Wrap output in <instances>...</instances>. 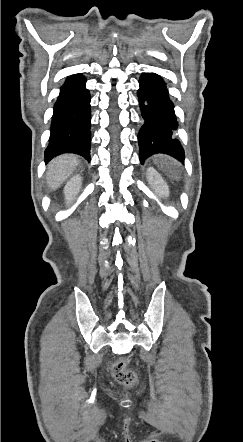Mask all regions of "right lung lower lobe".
<instances>
[{"label":"right lung lower lobe","mask_w":243,"mask_h":442,"mask_svg":"<svg viewBox=\"0 0 243 442\" xmlns=\"http://www.w3.org/2000/svg\"><path fill=\"white\" fill-rule=\"evenodd\" d=\"M81 74L67 77L54 105L45 161L63 153L79 154L90 161V94Z\"/></svg>","instance_id":"98d812e1"}]
</instances>
